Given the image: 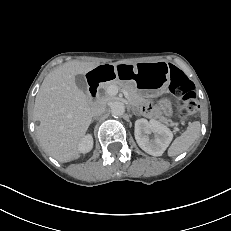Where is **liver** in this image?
I'll return each instance as SVG.
<instances>
[{"label":"liver","instance_id":"1","mask_svg":"<svg viewBox=\"0 0 231 231\" xmlns=\"http://www.w3.org/2000/svg\"><path fill=\"white\" fill-rule=\"evenodd\" d=\"M124 61L114 63L123 64ZM99 64L70 61L50 72L35 99L34 119L42 148L60 162L79 157V143L92 119V106L75 83V76L86 74Z\"/></svg>","mask_w":231,"mask_h":231}]
</instances>
